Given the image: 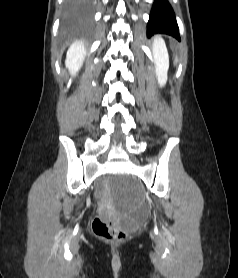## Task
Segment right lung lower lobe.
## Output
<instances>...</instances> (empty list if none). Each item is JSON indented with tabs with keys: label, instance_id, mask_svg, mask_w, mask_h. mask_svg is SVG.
Wrapping results in <instances>:
<instances>
[{
	"label": "right lung lower lobe",
	"instance_id": "1",
	"mask_svg": "<svg viewBox=\"0 0 238 278\" xmlns=\"http://www.w3.org/2000/svg\"><path fill=\"white\" fill-rule=\"evenodd\" d=\"M91 19V0H69L66 14L68 27H81L89 23Z\"/></svg>",
	"mask_w": 238,
	"mask_h": 278
}]
</instances>
